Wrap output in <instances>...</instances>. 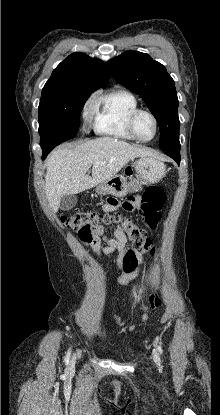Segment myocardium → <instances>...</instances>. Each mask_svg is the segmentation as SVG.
<instances>
[{"label": "myocardium", "mask_w": 220, "mask_h": 415, "mask_svg": "<svg viewBox=\"0 0 220 415\" xmlns=\"http://www.w3.org/2000/svg\"><path fill=\"white\" fill-rule=\"evenodd\" d=\"M142 113L148 114L153 119V121H154L155 132H154L153 137L150 138V139H142V138H140L137 135V132L135 130V121H136V118L138 117L139 114H142ZM128 129H129L131 135L136 140H138L139 142L146 143V142H150V141H152V140H154L156 138V136L158 134V131H159V122H158V119H157L156 115L152 111L147 110V109L137 108V109H135L134 111L131 112V114H130V116L128 118Z\"/></svg>", "instance_id": "1"}]
</instances>
